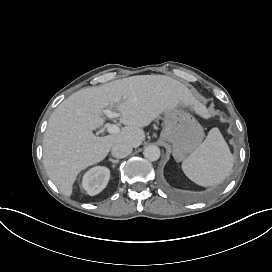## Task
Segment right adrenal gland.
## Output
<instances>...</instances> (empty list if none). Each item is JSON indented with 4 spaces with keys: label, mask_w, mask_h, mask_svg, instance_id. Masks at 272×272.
I'll return each mask as SVG.
<instances>
[{
    "label": "right adrenal gland",
    "mask_w": 272,
    "mask_h": 272,
    "mask_svg": "<svg viewBox=\"0 0 272 272\" xmlns=\"http://www.w3.org/2000/svg\"><path fill=\"white\" fill-rule=\"evenodd\" d=\"M109 161H111L112 163H118L119 162L118 159H112V158H109Z\"/></svg>",
    "instance_id": "1"
}]
</instances>
